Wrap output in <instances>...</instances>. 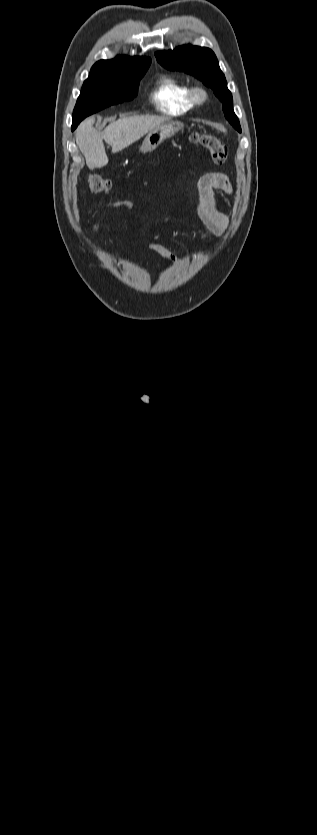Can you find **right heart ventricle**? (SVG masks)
<instances>
[{"label":"right heart ventricle","instance_id":"obj_1","mask_svg":"<svg viewBox=\"0 0 317 835\" xmlns=\"http://www.w3.org/2000/svg\"><path fill=\"white\" fill-rule=\"evenodd\" d=\"M188 91L189 86L186 82L166 75L157 80L150 97L160 112L179 115L193 108L188 98Z\"/></svg>","mask_w":317,"mask_h":835}]
</instances>
